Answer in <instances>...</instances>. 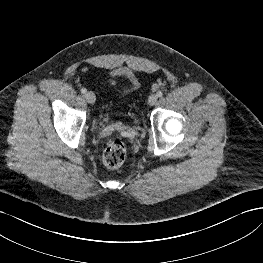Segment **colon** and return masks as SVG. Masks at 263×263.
I'll return each instance as SVG.
<instances>
[{"label":"colon","instance_id":"1","mask_svg":"<svg viewBox=\"0 0 263 263\" xmlns=\"http://www.w3.org/2000/svg\"><path fill=\"white\" fill-rule=\"evenodd\" d=\"M111 81V85H115ZM126 159V147L120 140L110 142L103 152V163L109 168L120 167Z\"/></svg>","mask_w":263,"mask_h":263}]
</instances>
